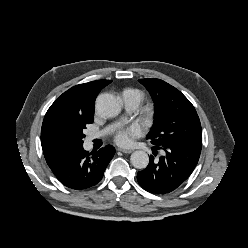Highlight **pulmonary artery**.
Returning <instances> with one entry per match:
<instances>
[{"mask_svg": "<svg viewBox=\"0 0 248 248\" xmlns=\"http://www.w3.org/2000/svg\"><path fill=\"white\" fill-rule=\"evenodd\" d=\"M122 101L124 103V108L126 111H134L138 108V106L141 103V99L138 95H136L135 93L129 91V90H125L123 91L122 95ZM112 130V126L105 128L104 130H102L99 133H93L89 136V138L95 139L97 137L103 136L108 134L110 131Z\"/></svg>", "mask_w": 248, "mask_h": 248, "instance_id": "pulmonary-artery-1", "label": "pulmonary artery"}]
</instances>
